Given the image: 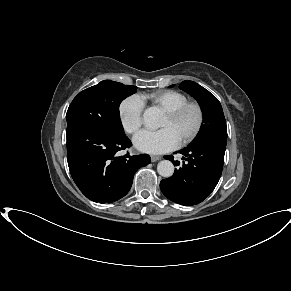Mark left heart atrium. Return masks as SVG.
Segmentation results:
<instances>
[{"mask_svg":"<svg viewBox=\"0 0 291 291\" xmlns=\"http://www.w3.org/2000/svg\"><path fill=\"white\" fill-rule=\"evenodd\" d=\"M134 146L142 152L161 154L176 148L179 141L169 128L143 130L133 139Z\"/></svg>","mask_w":291,"mask_h":291,"instance_id":"left-heart-atrium-1","label":"left heart atrium"}]
</instances>
